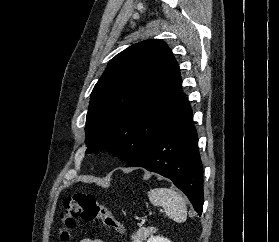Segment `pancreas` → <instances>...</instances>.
Here are the masks:
<instances>
[{
    "label": "pancreas",
    "mask_w": 279,
    "mask_h": 242,
    "mask_svg": "<svg viewBox=\"0 0 279 242\" xmlns=\"http://www.w3.org/2000/svg\"><path fill=\"white\" fill-rule=\"evenodd\" d=\"M153 233V229H139L136 233L131 236L132 242H142L149 235Z\"/></svg>",
    "instance_id": "cf45deb5"
}]
</instances>
